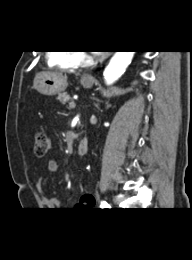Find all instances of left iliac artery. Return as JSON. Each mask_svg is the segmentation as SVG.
Returning <instances> with one entry per match:
<instances>
[{"instance_id":"44dca946","label":"left iliac artery","mask_w":192,"mask_h":260,"mask_svg":"<svg viewBox=\"0 0 192 260\" xmlns=\"http://www.w3.org/2000/svg\"><path fill=\"white\" fill-rule=\"evenodd\" d=\"M101 208L102 209H109L110 205L106 201H101Z\"/></svg>"}]
</instances>
